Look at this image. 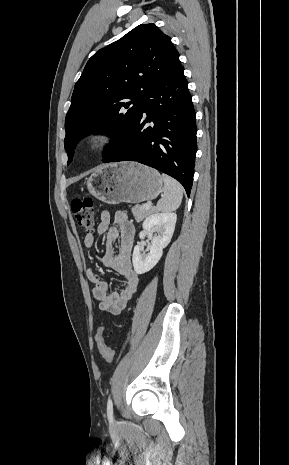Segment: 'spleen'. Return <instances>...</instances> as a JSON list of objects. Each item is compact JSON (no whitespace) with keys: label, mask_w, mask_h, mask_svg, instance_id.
I'll use <instances>...</instances> for the list:
<instances>
[{"label":"spleen","mask_w":289,"mask_h":465,"mask_svg":"<svg viewBox=\"0 0 289 465\" xmlns=\"http://www.w3.org/2000/svg\"><path fill=\"white\" fill-rule=\"evenodd\" d=\"M164 194L157 203V210L171 212L179 208L183 198L182 185L172 177L162 174Z\"/></svg>","instance_id":"3e777b00"}]
</instances>
